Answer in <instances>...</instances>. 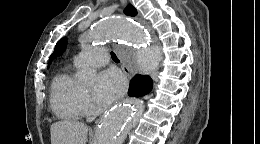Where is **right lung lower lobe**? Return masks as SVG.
<instances>
[{
	"label": "right lung lower lobe",
	"mask_w": 260,
	"mask_h": 144,
	"mask_svg": "<svg viewBox=\"0 0 260 144\" xmlns=\"http://www.w3.org/2000/svg\"><path fill=\"white\" fill-rule=\"evenodd\" d=\"M153 87L152 79L147 75H135L129 86L128 95L129 96H143L148 94Z\"/></svg>",
	"instance_id": "1"
}]
</instances>
